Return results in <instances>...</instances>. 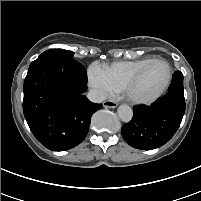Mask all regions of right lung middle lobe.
<instances>
[{
	"instance_id": "1",
	"label": "right lung middle lobe",
	"mask_w": 201,
	"mask_h": 201,
	"mask_svg": "<svg viewBox=\"0 0 201 201\" xmlns=\"http://www.w3.org/2000/svg\"><path fill=\"white\" fill-rule=\"evenodd\" d=\"M74 53L68 50L64 49H51L43 52L39 57H46V56H57L61 57L63 59H69V60H74L73 59Z\"/></svg>"
}]
</instances>
